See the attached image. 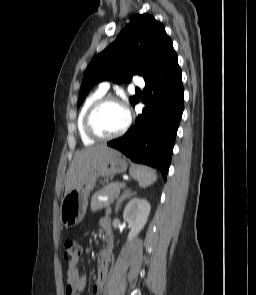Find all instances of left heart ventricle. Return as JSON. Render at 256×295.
I'll list each match as a JSON object with an SVG mask.
<instances>
[{"label":"left heart ventricle","instance_id":"1","mask_svg":"<svg viewBox=\"0 0 256 295\" xmlns=\"http://www.w3.org/2000/svg\"><path fill=\"white\" fill-rule=\"evenodd\" d=\"M125 121L126 114L123 108L115 103H107L95 112L92 124L99 134L111 135L120 130Z\"/></svg>","mask_w":256,"mask_h":295}]
</instances>
